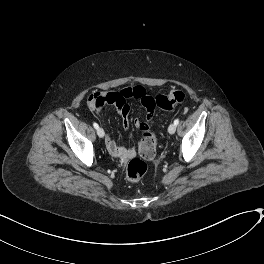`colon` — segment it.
Returning a JSON list of instances; mask_svg holds the SVG:
<instances>
[{
    "label": "colon",
    "mask_w": 264,
    "mask_h": 264,
    "mask_svg": "<svg viewBox=\"0 0 264 264\" xmlns=\"http://www.w3.org/2000/svg\"><path fill=\"white\" fill-rule=\"evenodd\" d=\"M138 100L144 101L148 111L156 108L170 110L184 101V93L181 91H172L168 94H158L155 98H147L145 95L138 94ZM136 126L142 131L143 135L139 142V153L144 159H152L156 154V136L150 130L147 122L138 121ZM147 170L146 163L141 159L130 161L126 171V178L131 182H137L145 175Z\"/></svg>",
    "instance_id": "5ec220e1"
}]
</instances>
